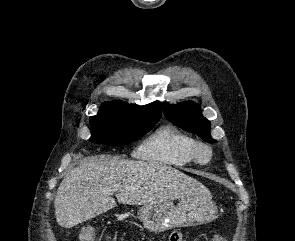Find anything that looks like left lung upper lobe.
Instances as JSON below:
<instances>
[{"instance_id":"left-lung-upper-lobe-1","label":"left lung upper lobe","mask_w":295,"mask_h":241,"mask_svg":"<svg viewBox=\"0 0 295 241\" xmlns=\"http://www.w3.org/2000/svg\"><path fill=\"white\" fill-rule=\"evenodd\" d=\"M166 118L186 131L194 132L207 142H216L209 135L210 122L201 114L198 105L183 102L177 105L162 104Z\"/></svg>"}]
</instances>
